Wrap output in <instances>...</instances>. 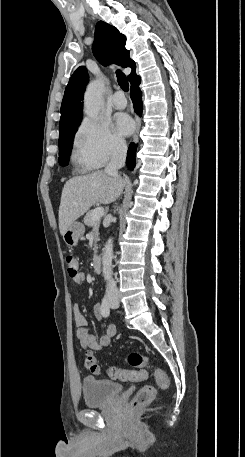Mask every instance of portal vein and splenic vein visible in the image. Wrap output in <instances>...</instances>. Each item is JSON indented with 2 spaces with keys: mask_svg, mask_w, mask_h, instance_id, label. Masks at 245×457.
Instances as JSON below:
<instances>
[{
  "mask_svg": "<svg viewBox=\"0 0 245 457\" xmlns=\"http://www.w3.org/2000/svg\"><path fill=\"white\" fill-rule=\"evenodd\" d=\"M103 214H104L103 206H98V208H94L91 216H92L93 220H97V218H101V216H103Z\"/></svg>",
  "mask_w": 245,
  "mask_h": 457,
  "instance_id": "18ae733b",
  "label": "portal vein and splenic vein"
}]
</instances>
